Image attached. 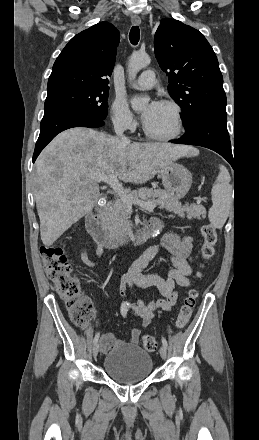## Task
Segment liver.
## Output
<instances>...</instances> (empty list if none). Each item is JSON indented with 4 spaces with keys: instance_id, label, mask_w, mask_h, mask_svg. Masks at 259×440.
<instances>
[{
    "instance_id": "1",
    "label": "liver",
    "mask_w": 259,
    "mask_h": 440,
    "mask_svg": "<svg viewBox=\"0 0 259 440\" xmlns=\"http://www.w3.org/2000/svg\"><path fill=\"white\" fill-rule=\"evenodd\" d=\"M197 154L184 145L122 142L86 127L61 132L35 163L34 198L43 244L51 246L92 211L100 197L93 175L114 174L123 182L142 184L172 161Z\"/></svg>"
}]
</instances>
